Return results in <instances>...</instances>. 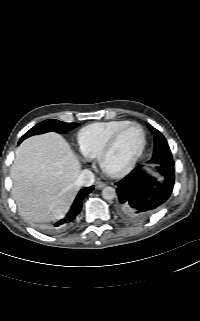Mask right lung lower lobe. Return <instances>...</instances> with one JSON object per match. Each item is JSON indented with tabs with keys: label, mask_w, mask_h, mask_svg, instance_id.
<instances>
[{
	"label": "right lung lower lobe",
	"mask_w": 200,
	"mask_h": 321,
	"mask_svg": "<svg viewBox=\"0 0 200 321\" xmlns=\"http://www.w3.org/2000/svg\"><path fill=\"white\" fill-rule=\"evenodd\" d=\"M93 186L83 188L80 190L78 195L76 196V199L74 200L70 210L66 214V216L57 221L54 226L52 227L51 231L52 232H59L67 229L69 226H71L76 219L77 215L80 213L82 209V200L83 198L88 195L92 190Z\"/></svg>",
	"instance_id": "1"
}]
</instances>
